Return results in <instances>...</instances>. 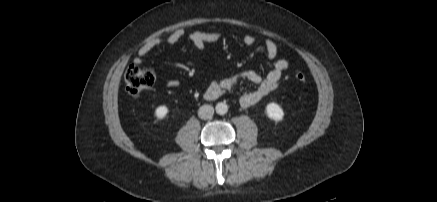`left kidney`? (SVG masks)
<instances>
[{
    "label": "left kidney",
    "instance_id": "obj_1",
    "mask_svg": "<svg viewBox=\"0 0 437 202\" xmlns=\"http://www.w3.org/2000/svg\"><path fill=\"white\" fill-rule=\"evenodd\" d=\"M266 113L267 116L274 120V121H280L284 117L283 109L277 104V103H269L266 106Z\"/></svg>",
    "mask_w": 437,
    "mask_h": 202
}]
</instances>
